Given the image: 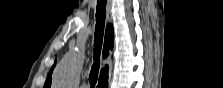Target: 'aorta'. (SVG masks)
<instances>
[{
  "label": "aorta",
  "instance_id": "1",
  "mask_svg": "<svg viewBox=\"0 0 223 88\" xmlns=\"http://www.w3.org/2000/svg\"><path fill=\"white\" fill-rule=\"evenodd\" d=\"M84 61V53L81 47L66 54L53 75V86L56 88H73L79 81V73Z\"/></svg>",
  "mask_w": 223,
  "mask_h": 88
}]
</instances>
